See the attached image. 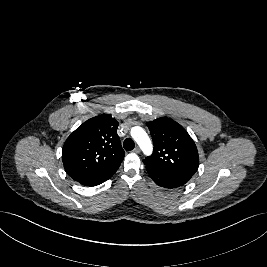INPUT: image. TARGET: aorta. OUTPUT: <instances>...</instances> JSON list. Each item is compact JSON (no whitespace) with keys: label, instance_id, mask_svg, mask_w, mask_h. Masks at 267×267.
<instances>
[{"label":"aorta","instance_id":"1","mask_svg":"<svg viewBox=\"0 0 267 267\" xmlns=\"http://www.w3.org/2000/svg\"><path fill=\"white\" fill-rule=\"evenodd\" d=\"M131 136L137 142L141 150L145 155H151L153 146L150 138L145 130L139 126H135L131 129Z\"/></svg>","mask_w":267,"mask_h":267}]
</instances>
